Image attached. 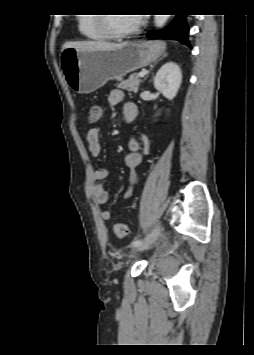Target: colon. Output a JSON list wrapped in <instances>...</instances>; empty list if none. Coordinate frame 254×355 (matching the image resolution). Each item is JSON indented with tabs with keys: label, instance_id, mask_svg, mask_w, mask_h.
Instances as JSON below:
<instances>
[{
	"label": "colon",
	"instance_id": "1",
	"mask_svg": "<svg viewBox=\"0 0 254 355\" xmlns=\"http://www.w3.org/2000/svg\"><path fill=\"white\" fill-rule=\"evenodd\" d=\"M88 122L95 123L97 122L102 114V108L100 105L93 104L87 108ZM114 233L118 238H125L129 235V228L124 223H115L114 224Z\"/></svg>",
	"mask_w": 254,
	"mask_h": 355
}]
</instances>
